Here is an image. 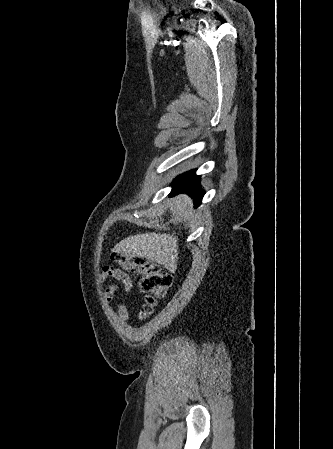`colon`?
Segmentation results:
<instances>
[{
	"mask_svg": "<svg viewBox=\"0 0 333 449\" xmlns=\"http://www.w3.org/2000/svg\"><path fill=\"white\" fill-rule=\"evenodd\" d=\"M111 260L122 269L140 276L139 288L146 295L141 316L148 315L172 285L171 273L153 262L121 250L113 251Z\"/></svg>",
	"mask_w": 333,
	"mask_h": 449,
	"instance_id": "obj_1",
	"label": "colon"
}]
</instances>
